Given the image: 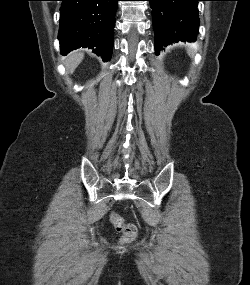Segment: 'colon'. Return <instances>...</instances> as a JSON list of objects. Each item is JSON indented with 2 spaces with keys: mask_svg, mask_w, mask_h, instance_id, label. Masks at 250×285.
I'll return each instance as SVG.
<instances>
[{
  "mask_svg": "<svg viewBox=\"0 0 250 285\" xmlns=\"http://www.w3.org/2000/svg\"><path fill=\"white\" fill-rule=\"evenodd\" d=\"M110 220L116 230L122 234L123 242H130L137 236V227L134 224L126 223L118 213L113 212L110 215Z\"/></svg>",
  "mask_w": 250,
  "mask_h": 285,
  "instance_id": "colon-1",
  "label": "colon"
}]
</instances>
